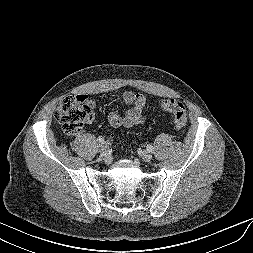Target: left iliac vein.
<instances>
[{"label":"left iliac vein","instance_id":"obj_1","mask_svg":"<svg viewBox=\"0 0 253 253\" xmlns=\"http://www.w3.org/2000/svg\"><path fill=\"white\" fill-rule=\"evenodd\" d=\"M141 158L145 161V162H150L152 159V155L150 154L149 151L147 150H143L141 152Z\"/></svg>","mask_w":253,"mask_h":253}]
</instances>
